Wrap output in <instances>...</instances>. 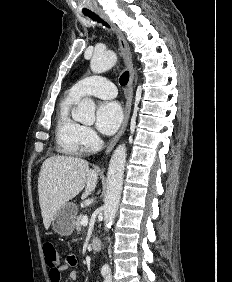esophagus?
Returning <instances> with one entry per match:
<instances>
[{
  "instance_id": "34e87169",
  "label": "esophagus",
  "mask_w": 232,
  "mask_h": 282,
  "mask_svg": "<svg viewBox=\"0 0 232 282\" xmlns=\"http://www.w3.org/2000/svg\"><path fill=\"white\" fill-rule=\"evenodd\" d=\"M96 13L100 16L102 20H104L114 31L118 44H119V49L120 53L123 57V60L125 62V65L129 71V81L127 84V89H126V105L124 109V117H123V122L122 125L118 131V133L114 136V138L109 142L105 155L110 154V152L113 150L121 136L124 134L126 127L129 122L130 114H131V106H132V99H133V91H134V77H135V71L133 67V61H132V56L129 48V44L126 41L123 33L119 30V28L110 20L108 15L102 11V10H97Z\"/></svg>"
}]
</instances>
